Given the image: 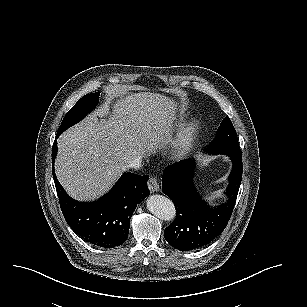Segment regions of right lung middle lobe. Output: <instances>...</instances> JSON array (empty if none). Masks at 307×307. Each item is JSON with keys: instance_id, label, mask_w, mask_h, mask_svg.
<instances>
[{"instance_id": "right-lung-middle-lobe-1", "label": "right lung middle lobe", "mask_w": 307, "mask_h": 307, "mask_svg": "<svg viewBox=\"0 0 307 307\" xmlns=\"http://www.w3.org/2000/svg\"><path fill=\"white\" fill-rule=\"evenodd\" d=\"M99 94L100 92L91 93L80 98L79 101L65 115L58 129L57 136H59L67 128L83 119L84 116L97 105Z\"/></svg>"}]
</instances>
